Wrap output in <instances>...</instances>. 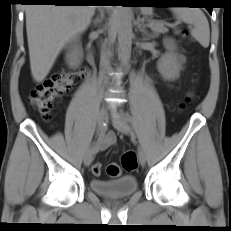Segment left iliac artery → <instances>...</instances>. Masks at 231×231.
<instances>
[{
  "label": "left iliac artery",
  "mask_w": 231,
  "mask_h": 231,
  "mask_svg": "<svg viewBox=\"0 0 231 231\" xmlns=\"http://www.w3.org/2000/svg\"><path fill=\"white\" fill-rule=\"evenodd\" d=\"M126 118H127V120H131L130 117H129L128 115H126Z\"/></svg>",
  "instance_id": "1"
}]
</instances>
